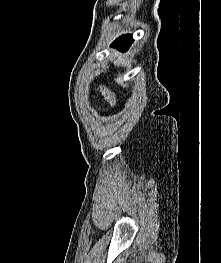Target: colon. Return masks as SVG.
<instances>
[{"label": "colon", "instance_id": "5ec220e1", "mask_svg": "<svg viewBox=\"0 0 221 263\" xmlns=\"http://www.w3.org/2000/svg\"><path fill=\"white\" fill-rule=\"evenodd\" d=\"M101 92H102L103 97H104L111 105H114V96H113V94H112L108 89H106L105 87H103V88L101 89Z\"/></svg>", "mask_w": 221, "mask_h": 263}]
</instances>
